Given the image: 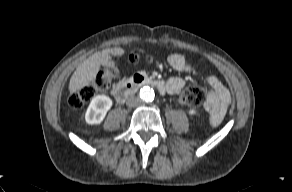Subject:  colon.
I'll return each instance as SVG.
<instances>
[{"label": "colon", "mask_w": 292, "mask_h": 192, "mask_svg": "<svg viewBox=\"0 0 292 192\" xmlns=\"http://www.w3.org/2000/svg\"><path fill=\"white\" fill-rule=\"evenodd\" d=\"M140 59L137 52H131L128 61L136 63ZM147 60H150L149 58ZM117 77V71L114 68L105 67L100 70L95 79L83 86L81 89L70 94L68 104L72 109H79L95 95L107 90L114 79ZM207 100V92L204 88L190 86L182 91L179 96V102L186 105H202Z\"/></svg>", "instance_id": "obj_1"}]
</instances>
